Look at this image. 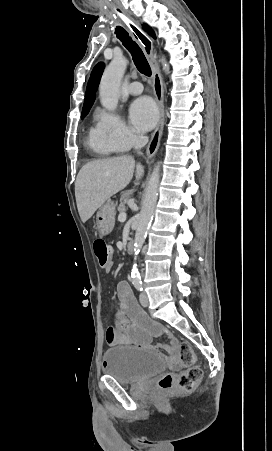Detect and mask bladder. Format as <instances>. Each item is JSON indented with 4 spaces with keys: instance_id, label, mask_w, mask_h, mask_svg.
Segmentation results:
<instances>
[{
    "instance_id": "31cf9c89",
    "label": "bladder",
    "mask_w": 272,
    "mask_h": 451,
    "mask_svg": "<svg viewBox=\"0 0 272 451\" xmlns=\"http://www.w3.org/2000/svg\"><path fill=\"white\" fill-rule=\"evenodd\" d=\"M107 376H115L120 384H133L165 372L162 354H153L128 346H114L104 352Z\"/></svg>"
}]
</instances>
